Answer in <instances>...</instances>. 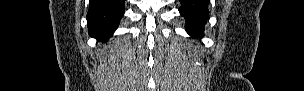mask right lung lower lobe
<instances>
[{"mask_svg":"<svg viewBox=\"0 0 304 91\" xmlns=\"http://www.w3.org/2000/svg\"><path fill=\"white\" fill-rule=\"evenodd\" d=\"M124 0H90L87 13L88 31L98 41L110 38L124 15Z\"/></svg>","mask_w":304,"mask_h":91,"instance_id":"98d812e1","label":"right lung lower lobe"}]
</instances>
